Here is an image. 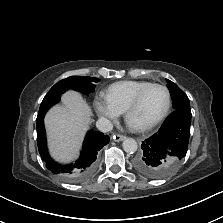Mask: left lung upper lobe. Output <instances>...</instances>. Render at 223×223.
<instances>
[{
	"instance_id": "1",
	"label": "left lung upper lobe",
	"mask_w": 223,
	"mask_h": 223,
	"mask_svg": "<svg viewBox=\"0 0 223 223\" xmlns=\"http://www.w3.org/2000/svg\"><path fill=\"white\" fill-rule=\"evenodd\" d=\"M167 87L172 98V106L174 110H184L191 112L190 102L187 95L172 81L166 79Z\"/></svg>"
}]
</instances>
